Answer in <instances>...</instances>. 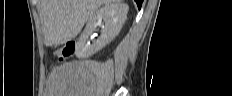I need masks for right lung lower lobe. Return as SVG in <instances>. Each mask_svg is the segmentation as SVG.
<instances>
[{"mask_svg": "<svg viewBox=\"0 0 232 96\" xmlns=\"http://www.w3.org/2000/svg\"><path fill=\"white\" fill-rule=\"evenodd\" d=\"M135 2L137 3L138 8H141L142 2L143 0H135Z\"/></svg>", "mask_w": 232, "mask_h": 96, "instance_id": "1", "label": "right lung lower lobe"}]
</instances>
